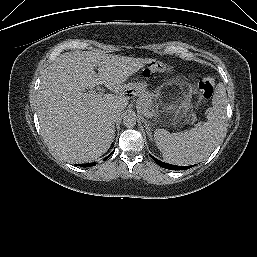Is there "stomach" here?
I'll return each mask as SVG.
<instances>
[{
    "instance_id": "obj_1",
    "label": "stomach",
    "mask_w": 257,
    "mask_h": 257,
    "mask_svg": "<svg viewBox=\"0 0 257 257\" xmlns=\"http://www.w3.org/2000/svg\"><path fill=\"white\" fill-rule=\"evenodd\" d=\"M146 87H147L146 83L137 82V83H134V84H130L129 85V90H134L137 93H141V92L145 91Z\"/></svg>"
}]
</instances>
